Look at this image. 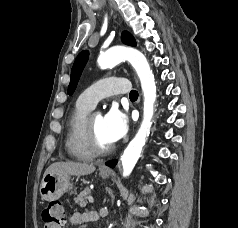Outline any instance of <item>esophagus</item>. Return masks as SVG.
I'll use <instances>...</instances> for the list:
<instances>
[{
	"label": "esophagus",
	"mask_w": 238,
	"mask_h": 228,
	"mask_svg": "<svg viewBox=\"0 0 238 228\" xmlns=\"http://www.w3.org/2000/svg\"><path fill=\"white\" fill-rule=\"evenodd\" d=\"M135 80H136V83H138V81H137V79L135 78Z\"/></svg>",
	"instance_id": "obj_1"
}]
</instances>
